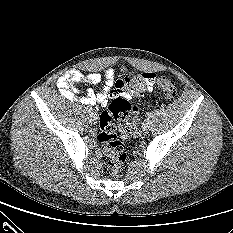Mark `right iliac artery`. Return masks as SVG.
<instances>
[{
    "instance_id": "1",
    "label": "right iliac artery",
    "mask_w": 233,
    "mask_h": 233,
    "mask_svg": "<svg viewBox=\"0 0 233 233\" xmlns=\"http://www.w3.org/2000/svg\"><path fill=\"white\" fill-rule=\"evenodd\" d=\"M86 111H87V113H89V114H92V113H93V112H92V109L89 108V107L86 108Z\"/></svg>"
}]
</instances>
